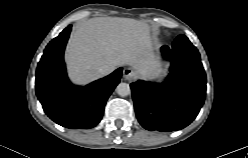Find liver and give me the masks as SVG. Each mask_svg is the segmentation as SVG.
I'll list each match as a JSON object with an SVG mask.
<instances>
[{
    "label": "liver",
    "mask_w": 248,
    "mask_h": 158,
    "mask_svg": "<svg viewBox=\"0 0 248 158\" xmlns=\"http://www.w3.org/2000/svg\"><path fill=\"white\" fill-rule=\"evenodd\" d=\"M148 24L130 18L98 17L77 24L69 39L66 60L71 79L84 84L101 77L98 69L122 65L158 77L162 70L153 52Z\"/></svg>",
    "instance_id": "obj_1"
}]
</instances>
